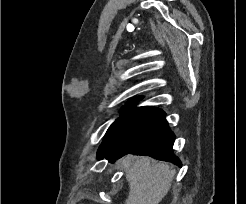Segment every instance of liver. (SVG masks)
<instances>
[{
	"instance_id": "1",
	"label": "liver",
	"mask_w": 246,
	"mask_h": 204,
	"mask_svg": "<svg viewBox=\"0 0 246 204\" xmlns=\"http://www.w3.org/2000/svg\"><path fill=\"white\" fill-rule=\"evenodd\" d=\"M129 183V194L124 204H158L169 191L176 171L169 164L152 163L149 157H141L134 163L128 155L121 161Z\"/></svg>"
}]
</instances>
